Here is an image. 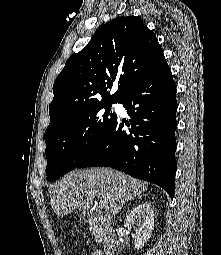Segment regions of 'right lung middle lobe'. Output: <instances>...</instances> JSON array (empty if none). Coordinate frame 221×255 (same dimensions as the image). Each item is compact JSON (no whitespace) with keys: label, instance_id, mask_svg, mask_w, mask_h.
Segmentation results:
<instances>
[{"label":"right lung middle lobe","instance_id":"right-lung-middle-lobe-1","mask_svg":"<svg viewBox=\"0 0 221 255\" xmlns=\"http://www.w3.org/2000/svg\"><path fill=\"white\" fill-rule=\"evenodd\" d=\"M113 103L117 102H101L83 108L45 132L48 181L75 169L94 149L117 119L111 112Z\"/></svg>","mask_w":221,"mask_h":255}]
</instances>
